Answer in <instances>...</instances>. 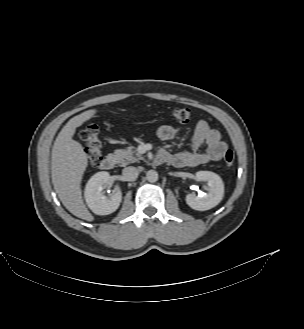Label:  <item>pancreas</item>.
<instances>
[{"label":"pancreas","instance_id":"cf45deb5","mask_svg":"<svg viewBox=\"0 0 304 329\" xmlns=\"http://www.w3.org/2000/svg\"><path fill=\"white\" fill-rule=\"evenodd\" d=\"M114 155L117 158V162L120 166H126L128 164L138 161L139 159H142L141 155L133 146H130L127 149L115 150Z\"/></svg>","mask_w":304,"mask_h":329}]
</instances>
